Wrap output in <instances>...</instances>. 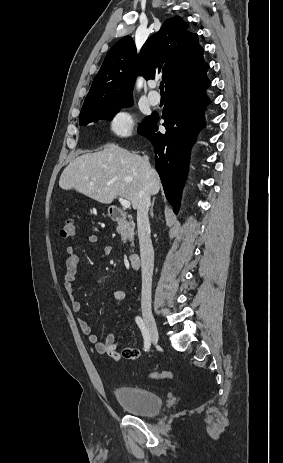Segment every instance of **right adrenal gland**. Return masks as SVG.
<instances>
[{"mask_svg": "<svg viewBox=\"0 0 283 463\" xmlns=\"http://www.w3.org/2000/svg\"><path fill=\"white\" fill-rule=\"evenodd\" d=\"M155 200H156V197L153 198L151 208H150V216H151V218H153V216H154L153 208H154Z\"/></svg>", "mask_w": 283, "mask_h": 463, "instance_id": "obj_1", "label": "right adrenal gland"}]
</instances>
